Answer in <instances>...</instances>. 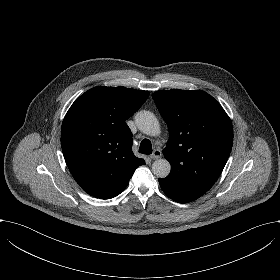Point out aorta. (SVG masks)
Wrapping results in <instances>:
<instances>
[{
    "label": "aorta",
    "instance_id": "aorta-1",
    "mask_svg": "<svg viewBox=\"0 0 280 280\" xmlns=\"http://www.w3.org/2000/svg\"><path fill=\"white\" fill-rule=\"evenodd\" d=\"M135 122L141 132L146 135L155 136L160 134V124L154 113L140 111L135 116ZM171 165L166 159H156L152 164V172L158 178H165L169 175Z\"/></svg>",
    "mask_w": 280,
    "mask_h": 280
}]
</instances>
